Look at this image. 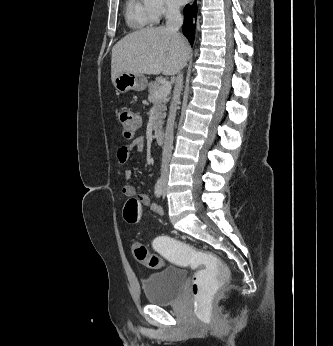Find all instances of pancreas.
<instances>
[{
	"label": "pancreas",
	"mask_w": 333,
	"mask_h": 346,
	"mask_svg": "<svg viewBox=\"0 0 333 346\" xmlns=\"http://www.w3.org/2000/svg\"><path fill=\"white\" fill-rule=\"evenodd\" d=\"M161 87L160 80L157 79L154 82H150L148 84V100L153 103L154 109H155V115H154V123H153V129L155 132H157L163 124V119L166 116V104L168 102L167 97L162 98H156L155 93L156 91Z\"/></svg>",
	"instance_id": "pancreas-1"
}]
</instances>
